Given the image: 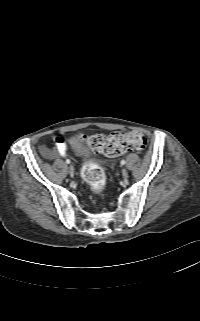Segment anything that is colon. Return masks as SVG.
<instances>
[{
    "mask_svg": "<svg viewBox=\"0 0 200 321\" xmlns=\"http://www.w3.org/2000/svg\"><path fill=\"white\" fill-rule=\"evenodd\" d=\"M88 143L96 152L114 158L127 152L144 150L147 141L142 133L130 131L110 135L94 134L88 137ZM81 175L95 193L99 194L105 189L106 175L97 163L86 162L82 167Z\"/></svg>",
    "mask_w": 200,
    "mask_h": 321,
    "instance_id": "obj_1",
    "label": "colon"
}]
</instances>
